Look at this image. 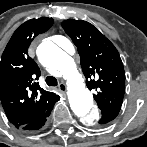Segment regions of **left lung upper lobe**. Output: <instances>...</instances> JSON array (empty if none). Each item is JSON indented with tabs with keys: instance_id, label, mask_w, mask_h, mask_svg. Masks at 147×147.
<instances>
[{
	"instance_id": "obj_1",
	"label": "left lung upper lobe",
	"mask_w": 147,
	"mask_h": 147,
	"mask_svg": "<svg viewBox=\"0 0 147 147\" xmlns=\"http://www.w3.org/2000/svg\"><path fill=\"white\" fill-rule=\"evenodd\" d=\"M77 46L87 87L95 90L100 110L121 107L125 92V72L114 45L92 24L82 20L62 22Z\"/></svg>"
}]
</instances>
